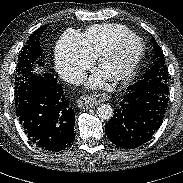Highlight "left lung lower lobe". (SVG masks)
<instances>
[{
	"label": "left lung lower lobe",
	"instance_id": "1",
	"mask_svg": "<svg viewBox=\"0 0 183 183\" xmlns=\"http://www.w3.org/2000/svg\"><path fill=\"white\" fill-rule=\"evenodd\" d=\"M168 96L129 86L120 95V102L105 130L109 140L124 149L136 148L159 129L166 114Z\"/></svg>",
	"mask_w": 183,
	"mask_h": 183
}]
</instances>
